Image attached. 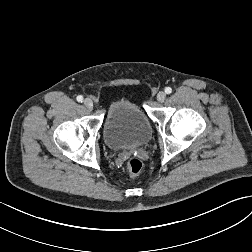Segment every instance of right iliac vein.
<instances>
[{
	"label": "right iliac vein",
	"instance_id": "right-iliac-vein-1",
	"mask_svg": "<svg viewBox=\"0 0 252 252\" xmlns=\"http://www.w3.org/2000/svg\"><path fill=\"white\" fill-rule=\"evenodd\" d=\"M83 103L87 109L91 110L93 108V101L91 99L86 98Z\"/></svg>",
	"mask_w": 252,
	"mask_h": 252
}]
</instances>
